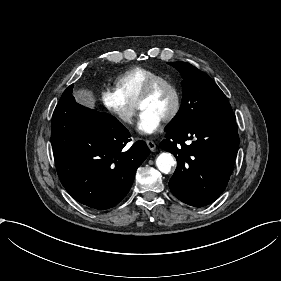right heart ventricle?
Segmentation results:
<instances>
[{
	"label": "right heart ventricle",
	"mask_w": 281,
	"mask_h": 281,
	"mask_svg": "<svg viewBox=\"0 0 281 281\" xmlns=\"http://www.w3.org/2000/svg\"><path fill=\"white\" fill-rule=\"evenodd\" d=\"M162 76L159 72L146 67H133L115 80L116 90L131 104L136 105L145 85L153 78Z\"/></svg>",
	"instance_id": "1"
}]
</instances>
